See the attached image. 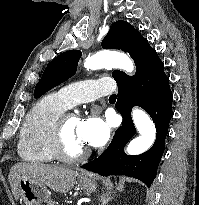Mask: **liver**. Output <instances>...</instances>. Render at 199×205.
I'll list each match as a JSON object with an SVG mask.
<instances>
[{"mask_svg": "<svg viewBox=\"0 0 199 205\" xmlns=\"http://www.w3.org/2000/svg\"><path fill=\"white\" fill-rule=\"evenodd\" d=\"M77 171L42 163H17L10 169L9 182L13 195L19 199V181L23 178L35 180L54 192L67 193L75 184Z\"/></svg>", "mask_w": 199, "mask_h": 205, "instance_id": "obj_1", "label": "liver"}]
</instances>
